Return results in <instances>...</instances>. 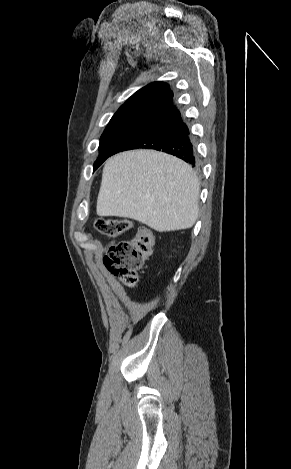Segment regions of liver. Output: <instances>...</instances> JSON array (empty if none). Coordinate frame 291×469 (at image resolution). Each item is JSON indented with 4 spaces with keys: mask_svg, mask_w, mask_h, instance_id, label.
<instances>
[{
    "mask_svg": "<svg viewBox=\"0 0 291 469\" xmlns=\"http://www.w3.org/2000/svg\"><path fill=\"white\" fill-rule=\"evenodd\" d=\"M199 193L196 174L182 160L154 150L127 151L106 161L96 211L159 232L188 229L198 218Z\"/></svg>",
    "mask_w": 291,
    "mask_h": 469,
    "instance_id": "1",
    "label": "liver"
}]
</instances>
